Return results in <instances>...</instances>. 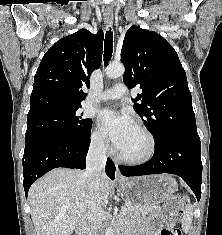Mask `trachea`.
I'll list each match as a JSON object with an SVG mask.
<instances>
[{
  "instance_id": "1",
  "label": "trachea",
  "mask_w": 222,
  "mask_h": 235,
  "mask_svg": "<svg viewBox=\"0 0 222 235\" xmlns=\"http://www.w3.org/2000/svg\"><path fill=\"white\" fill-rule=\"evenodd\" d=\"M113 53V33L111 30H108L105 35L104 42V63L107 65L111 60Z\"/></svg>"
}]
</instances>
